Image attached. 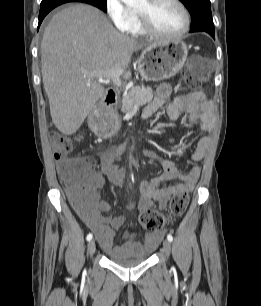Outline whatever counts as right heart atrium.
I'll return each instance as SVG.
<instances>
[{
  "label": "right heart atrium",
  "instance_id": "obj_1",
  "mask_svg": "<svg viewBox=\"0 0 261 306\" xmlns=\"http://www.w3.org/2000/svg\"><path fill=\"white\" fill-rule=\"evenodd\" d=\"M105 8L115 28L123 32L128 31L133 20V12L123 0H105Z\"/></svg>",
  "mask_w": 261,
  "mask_h": 306
}]
</instances>
